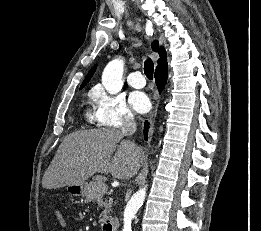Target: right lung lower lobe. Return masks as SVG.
I'll use <instances>...</instances> for the list:
<instances>
[{"instance_id": "obj_1", "label": "right lung lower lobe", "mask_w": 261, "mask_h": 231, "mask_svg": "<svg viewBox=\"0 0 261 231\" xmlns=\"http://www.w3.org/2000/svg\"><path fill=\"white\" fill-rule=\"evenodd\" d=\"M155 81L158 86L159 92L164 89L166 81H167V65L163 66L160 69L155 71ZM148 125L149 123L145 121V128H144V138L147 140V133H148Z\"/></svg>"}]
</instances>
